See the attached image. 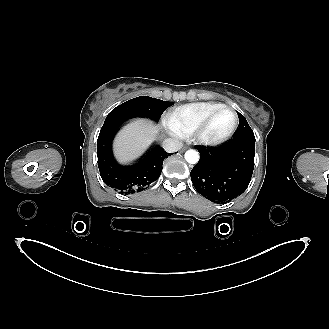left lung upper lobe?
<instances>
[{
    "mask_svg": "<svg viewBox=\"0 0 329 329\" xmlns=\"http://www.w3.org/2000/svg\"><path fill=\"white\" fill-rule=\"evenodd\" d=\"M238 113L239 117V127L237 128V131L233 137V139H238V138H250V139H255L254 133L252 129L250 128L249 124L247 123L245 117Z\"/></svg>",
    "mask_w": 329,
    "mask_h": 329,
    "instance_id": "1",
    "label": "left lung upper lobe"
}]
</instances>
